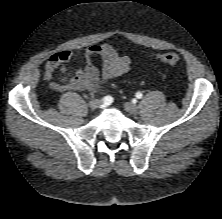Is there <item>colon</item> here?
I'll return each instance as SVG.
<instances>
[{"label":"colon","mask_w":222,"mask_h":219,"mask_svg":"<svg viewBox=\"0 0 222 219\" xmlns=\"http://www.w3.org/2000/svg\"><path fill=\"white\" fill-rule=\"evenodd\" d=\"M157 59L160 62L168 64V65H176L181 60L179 54L174 52V51H169V52H165V53L159 54L157 56Z\"/></svg>","instance_id":"colon-1"}]
</instances>
